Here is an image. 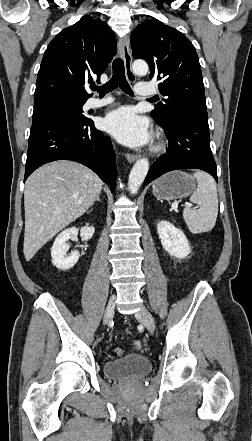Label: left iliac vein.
I'll list each match as a JSON object with an SVG mask.
<instances>
[{
    "label": "left iliac vein",
    "instance_id": "4c4485c4",
    "mask_svg": "<svg viewBox=\"0 0 252 441\" xmlns=\"http://www.w3.org/2000/svg\"><path fill=\"white\" fill-rule=\"evenodd\" d=\"M136 318L140 319L150 333L155 330V322L152 314L145 308L141 307L136 313Z\"/></svg>",
    "mask_w": 252,
    "mask_h": 441
}]
</instances>
